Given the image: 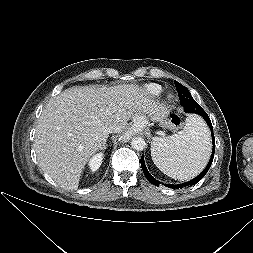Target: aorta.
I'll return each mask as SVG.
<instances>
[{"instance_id":"1","label":"aorta","mask_w":253,"mask_h":253,"mask_svg":"<svg viewBox=\"0 0 253 253\" xmlns=\"http://www.w3.org/2000/svg\"><path fill=\"white\" fill-rule=\"evenodd\" d=\"M131 146L134 150L142 151L145 148L146 143H145V140L143 138L135 137L131 141Z\"/></svg>"}]
</instances>
